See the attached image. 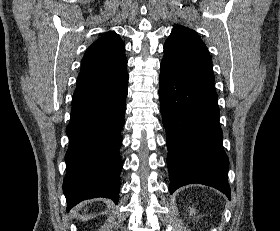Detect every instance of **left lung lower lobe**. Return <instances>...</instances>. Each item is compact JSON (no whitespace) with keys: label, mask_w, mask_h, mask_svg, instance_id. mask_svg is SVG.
<instances>
[{"label":"left lung lower lobe","mask_w":280,"mask_h":231,"mask_svg":"<svg viewBox=\"0 0 280 231\" xmlns=\"http://www.w3.org/2000/svg\"><path fill=\"white\" fill-rule=\"evenodd\" d=\"M160 110L167 133L170 193L187 184L217 188L230 199L214 80L178 79L161 69Z\"/></svg>","instance_id":"0a47b994"}]
</instances>
